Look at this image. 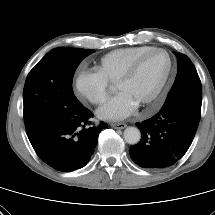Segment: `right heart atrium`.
<instances>
[{"instance_id": "1", "label": "right heart atrium", "mask_w": 215, "mask_h": 215, "mask_svg": "<svg viewBox=\"0 0 215 215\" xmlns=\"http://www.w3.org/2000/svg\"><path fill=\"white\" fill-rule=\"evenodd\" d=\"M74 91L79 99L100 105L108 97L109 82L97 70H80L74 77Z\"/></svg>"}]
</instances>
